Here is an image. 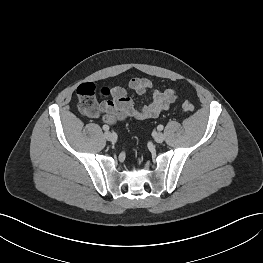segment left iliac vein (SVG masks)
I'll list each match as a JSON object with an SVG mask.
<instances>
[{"mask_svg": "<svg viewBox=\"0 0 263 263\" xmlns=\"http://www.w3.org/2000/svg\"><path fill=\"white\" fill-rule=\"evenodd\" d=\"M154 140L157 143H162L164 141V135L161 132H158L155 134Z\"/></svg>", "mask_w": 263, "mask_h": 263, "instance_id": "1", "label": "left iliac vein"}]
</instances>
